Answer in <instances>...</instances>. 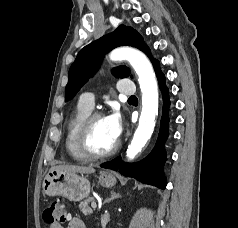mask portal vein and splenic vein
Instances as JSON below:
<instances>
[{
    "mask_svg": "<svg viewBox=\"0 0 238 228\" xmlns=\"http://www.w3.org/2000/svg\"><path fill=\"white\" fill-rule=\"evenodd\" d=\"M91 206H92L93 209H96V208H97L96 202H92V203H91Z\"/></svg>",
    "mask_w": 238,
    "mask_h": 228,
    "instance_id": "portal-vein-and-splenic-vein-1",
    "label": "portal vein and splenic vein"
}]
</instances>
